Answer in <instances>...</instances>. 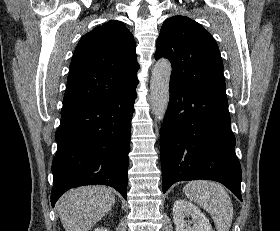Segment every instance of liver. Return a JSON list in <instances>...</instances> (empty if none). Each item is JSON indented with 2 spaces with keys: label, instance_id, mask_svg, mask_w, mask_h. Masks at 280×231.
I'll use <instances>...</instances> for the list:
<instances>
[{
  "label": "liver",
  "instance_id": "1",
  "mask_svg": "<svg viewBox=\"0 0 280 231\" xmlns=\"http://www.w3.org/2000/svg\"><path fill=\"white\" fill-rule=\"evenodd\" d=\"M115 203L111 187L84 185L69 189L57 203L66 231H89Z\"/></svg>",
  "mask_w": 280,
  "mask_h": 231
}]
</instances>
